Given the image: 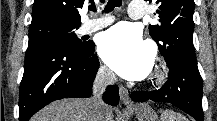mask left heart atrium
<instances>
[{
	"mask_svg": "<svg viewBox=\"0 0 217 121\" xmlns=\"http://www.w3.org/2000/svg\"><path fill=\"white\" fill-rule=\"evenodd\" d=\"M98 50L105 63L126 79H142L153 66L152 49L143 41L139 30L127 24L116 25L104 32Z\"/></svg>",
	"mask_w": 217,
	"mask_h": 121,
	"instance_id": "left-heart-atrium-1",
	"label": "left heart atrium"
}]
</instances>
